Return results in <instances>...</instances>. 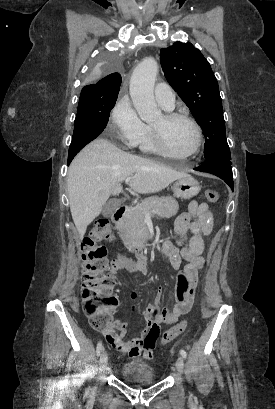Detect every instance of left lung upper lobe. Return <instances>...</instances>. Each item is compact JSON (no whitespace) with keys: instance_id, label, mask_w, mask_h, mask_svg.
I'll return each mask as SVG.
<instances>
[{"instance_id":"5c2ea615","label":"left lung upper lobe","mask_w":275,"mask_h":409,"mask_svg":"<svg viewBox=\"0 0 275 409\" xmlns=\"http://www.w3.org/2000/svg\"><path fill=\"white\" fill-rule=\"evenodd\" d=\"M168 83L189 107L205 135L204 157H231L217 79L202 53L191 43L175 42L160 52Z\"/></svg>"}]
</instances>
